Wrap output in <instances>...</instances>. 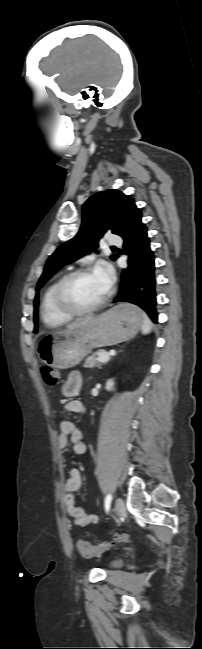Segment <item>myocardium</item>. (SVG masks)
Wrapping results in <instances>:
<instances>
[{"mask_svg": "<svg viewBox=\"0 0 202 649\" xmlns=\"http://www.w3.org/2000/svg\"><path fill=\"white\" fill-rule=\"evenodd\" d=\"M91 272V268L89 267H81L78 269H75L65 276H63L58 284L56 285L55 292H54V298L55 301L58 305V307L65 313L71 315V316H84L87 314H91L101 308L109 299L110 297V290H107L105 295L100 299L98 302L95 304L87 307V308H79L74 306L71 301L69 300L67 296V288L69 284L77 277L88 274Z\"/></svg>", "mask_w": 202, "mask_h": 649, "instance_id": "myocardium-1", "label": "myocardium"}]
</instances>
